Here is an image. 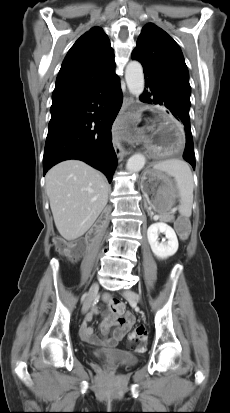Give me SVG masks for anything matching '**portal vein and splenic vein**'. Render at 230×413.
<instances>
[{
  "mask_svg": "<svg viewBox=\"0 0 230 413\" xmlns=\"http://www.w3.org/2000/svg\"><path fill=\"white\" fill-rule=\"evenodd\" d=\"M177 209H175V208H173L172 210H171V212H175ZM157 219H158V217H156Z\"/></svg>",
  "mask_w": 230,
  "mask_h": 413,
  "instance_id": "obj_1",
  "label": "portal vein and splenic vein"
}]
</instances>
